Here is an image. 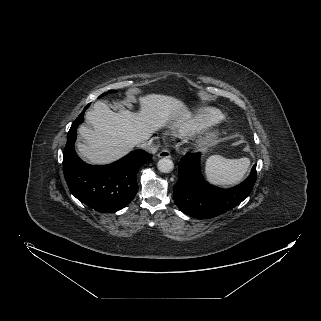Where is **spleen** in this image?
<instances>
[{"instance_id":"1","label":"spleen","mask_w":321,"mask_h":321,"mask_svg":"<svg viewBox=\"0 0 321 321\" xmlns=\"http://www.w3.org/2000/svg\"><path fill=\"white\" fill-rule=\"evenodd\" d=\"M250 165L249 158L226 159L219 155L210 156L205 164L207 180L218 186H229L240 182Z\"/></svg>"}]
</instances>
